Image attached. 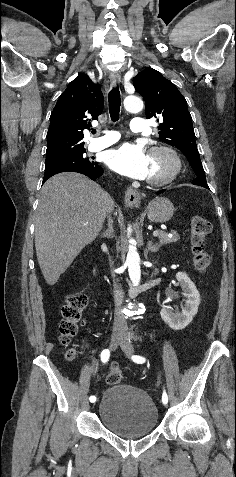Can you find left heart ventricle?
<instances>
[{
  "mask_svg": "<svg viewBox=\"0 0 236 477\" xmlns=\"http://www.w3.org/2000/svg\"><path fill=\"white\" fill-rule=\"evenodd\" d=\"M170 162L167 157L161 153L149 156L148 178H158L165 175L170 170Z\"/></svg>",
  "mask_w": 236,
  "mask_h": 477,
  "instance_id": "b2bd125f",
  "label": "left heart ventricle"
}]
</instances>
